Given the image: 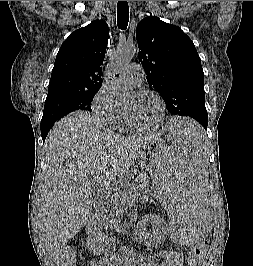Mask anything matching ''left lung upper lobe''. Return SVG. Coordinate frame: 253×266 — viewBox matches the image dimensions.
I'll return each instance as SVG.
<instances>
[{"instance_id": "1", "label": "left lung upper lobe", "mask_w": 253, "mask_h": 266, "mask_svg": "<svg viewBox=\"0 0 253 266\" xmlns=\"http://www.w3.org/2000/svg\"><path fill=\"white\" fill-rule=\"evenodd\" d=\"M136 39L147 81L161 94L171 115L191 117L207 126L204 73L192 40L178 26L155 16L138 24Z\"/></svg>"}]
</instances>
